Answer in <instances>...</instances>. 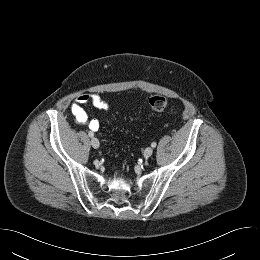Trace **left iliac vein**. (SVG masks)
<instances>
[{
    "instance_id": "1",
    "label": "left iliac vein",
    "mask_w": 260,
    "mask_h": 260,
    "mask_svg": "<svg viewBox=\"0 0 260 260\" xmlns=\"http://www.w3.org/2000/svg\"><path fill=\"white\" fill-rule=\"evenodd\" d=\"M152 154H153V149L151 147H147L143 152L145 158H149Z\"/></svg>"
}]
</instances>
